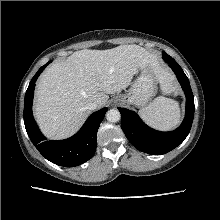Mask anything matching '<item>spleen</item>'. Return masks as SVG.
<instances>
[{
  "label": "spleen",
  "instance_id": "spleen-1",
  "mask_svg": "<svg viewBox=\"0 0 220 220\" xmlns=\"http://www.w3.org/2000/svg\"><path fill=\"white\" fill-rule=\"evenodd\" d=\"M139 114L148 125L160 130L176 127L181 117L178 102L164 96L157 97L142 108Z\"/></svg>",
  "mask_w": 220,
  "mask_h": 220
}]
</instances>
